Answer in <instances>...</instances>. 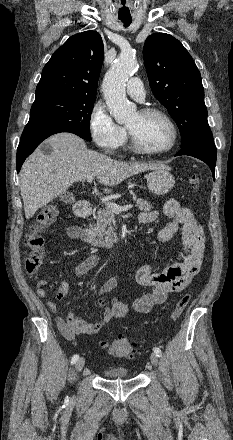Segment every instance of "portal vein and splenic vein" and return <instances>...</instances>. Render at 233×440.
<instances>
[{"label": "portal vein and splenic vein", "instance_id": "obj_1", "mask_svg": "<svg viewBox=\"0 0 233 440\" xmlns=\"http://www.w3.org/2000/svg\"><path fill=\"white\" fill-rule=\"evenodd\" d=\"M87 182H92L94 179V176L88 175L87 176ZM106 207L112 209L115 213L119 214L122 211H127L133 207V205H125V206H119L114 202H105Z\"/></svg>", "mask_w": 233, "mask_h": 440}]
</instances>
